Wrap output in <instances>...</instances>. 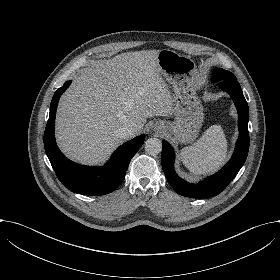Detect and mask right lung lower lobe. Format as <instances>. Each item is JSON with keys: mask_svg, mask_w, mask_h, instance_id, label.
I'll list each match as a JSON object with an SVG mask.
<instances>
[{"mask_svg": "<svg viewBox=\"0 0 280 280\" xmlns=\"http://www.w3.org/2000/svg\"><path fill=\"white\" fill-rule=\"evenodd\" d=\"M70 84L71 81L65 82L52 98L44 133L46 154L58 179L70 191L89 196L108 194L123 181L130 160L142 146L145 136L141 135L119 147L104 167L82 166L68 160L56 145L54 126L59 98Z\"/></svg>", "mask_w": 280, "mask_h": 280, "instance_id": "right-lung-lower-lobe-1", "label": "right lung lower lobe"}]
</instances>
